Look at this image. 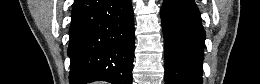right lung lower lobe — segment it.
Here are the masks:
<instances>
[{"instance_id": "1", "label": "right lung lower lobe", "mask_w": 260, "mask_h": 84, "mask_svg": "<svg viewBox=\"0 0 260 84\" xmlns=\"http://www.w3.org/2000/svg\"><path fill=\"white\" fill-rule=\"evenodd\" d=\"M69 34L71 84H132L131 0H75Z\"/></svg>"}]
</instances>
